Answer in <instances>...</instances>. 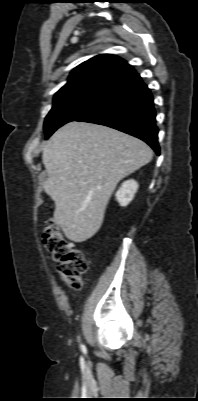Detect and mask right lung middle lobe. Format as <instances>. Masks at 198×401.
<instances>
[{
    "instance_id": "obj_1",
    "label": "right lung middle lobe",
    "mask_w": 198,
    "mask_h": 401,
    "mask_svg": "<svg viewBox=\"0 0 198 401\" xmlns=\"http://www.w3.org/2000/svg\"><path fill=\"white\" fill-rule=\"evenodd\" d=\"M108 89L86 88L54 97L53 106L44 123L45 139L62 125L76 121L97 107Z\"/></svg>"
}]
</instances>
